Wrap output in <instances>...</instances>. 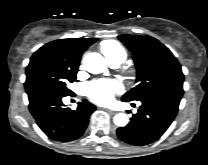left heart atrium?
Here are the masks:
<instances>
[{"mask_svg":"<svg viewBox=\"0 0 208 165\" xmlns=\"http://www.w3.org/2000/svg\"><path fill=\"white\" fill-rule=\"evenodd\" d=\"M122 91V85L117 80L99 79L92 81L86 87V95L98 104H108L114 94Z\"/></svg>","mask_w":208,"mask_h":165,"instance_id":"left-heart-atrium-1","label":"left heart atrium"}]
</instances>
